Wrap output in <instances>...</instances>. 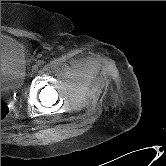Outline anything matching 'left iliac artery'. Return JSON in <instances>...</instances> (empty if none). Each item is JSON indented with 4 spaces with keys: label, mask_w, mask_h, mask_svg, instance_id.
I'll return each mask as SVG.
<instances>
[{
    "label": "left iliac artery",
    "mask_w": 166,
    "mask_h": 166,
    "mask_svg": "<svg viewBox=\"0 0 166 166\" xmlns=\"http://www.w3.org/2000/svg\"><path fill=\"white\" fill-rule=\"evenodd\" d=\"M43 64H44V62L41 61V60L37 62V65H38V66H42Z\"/></svg>",
    "instance_id": "left-iliac-artery-1"
}]
</instances>
